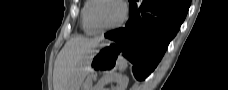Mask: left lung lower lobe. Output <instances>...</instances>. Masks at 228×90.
I'll list each match as a JSON object with an SVG mask.
<instances>
[{"instance_id": "obj_1", "label": "left lung lower lobe", "mask_w": 228, "mask_h": 90, "mask_svg": "<svg viewBox=\"0 0 228 90\" xmlns=\"http://www.w3.org/2000/svg\"><path fill=\"white\" fill-rule=\"evenodd\" d=\"M130 18L124 28L105 34L117 42L133 65L137 80L155 69L188 12V0H129Z\"/></svg>"}]
</instances>
